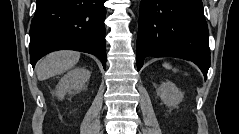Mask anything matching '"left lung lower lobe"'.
Returning <instances> with one entry per match:
<instances>
[{"label":"left lung lower lobe","mask_w":239,"mask_h":134,"mask_svg":"<svg viewBox=\"0 0 239 134\" xmlns=\"http://www.w3.org/2000/svg\"><path fill=\"white\" fill-rule=\"evenodd\" d=\"M147 56L190 60L198 65L206 79L210 49L202 0H141L138 71Z\"/></svg>","instance_id":"left-lung-lower-lobe-1"}]
</instances>
